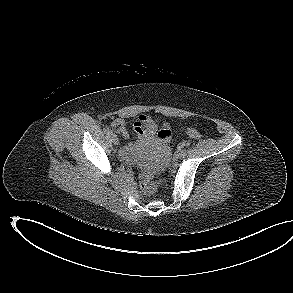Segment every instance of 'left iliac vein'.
<instances>
[{"label":"left iliac vein","instance_id":"left-iliac-vein-1","mask_svg":"<svg viewBox=\"0 0 293 293\" xmlns=\"http://www.w3.org/2000/svg\"><path fill=\"white\" fill-rule=\"evenodd\" d=\"M185 156H186V152L185 151L182 150V151L179 152V157L180 158H184Z\"/></svg>","mask_w":293,"mask_h":293}]
</instances>
